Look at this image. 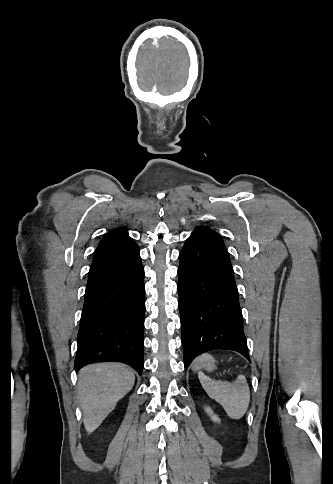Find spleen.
I'll list each match as a JSON object with an SVG mask.
<instances>
[{
    "mask_svg": "<svg viewBox=\"0 0 333 484\" xmlns=\"http://www.w3.org/2000/svg\"><path fill=\"white\" fill-rule=\"evenodd\" d=\"M200 383L208 396L219 403L231 419H241L250 402V390L246 378L239 375L234 383L214 381L203 372L198 374Z\"/></svg>",
    "mask_w": 333,
    "mask_h": 484,
    "instance_id": "3e777b00",
    "label": "spleen"
}]
</instances>
